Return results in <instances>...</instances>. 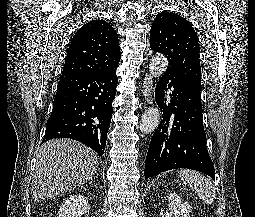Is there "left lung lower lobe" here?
<instances>
[{
	"mask_svg": "<svg viewBox=\"0 0 255 217\" xmlns=\"http://www.w3.org/2000/svg\"><path fill=\"white\" fill-rule=\"evenodd\" d=\"M168 90L170 102L166 104ZM200 91L201 87L170 71L158 81L155 98L163 115L149 145L145 179L177 168L215 178L206 147Z\"/></svg>",
	"mask_w": 255,
	"mask_h": 217,
	"instance_id": "1",
	"label": "left lung lower lobe"
}]
</instances>
